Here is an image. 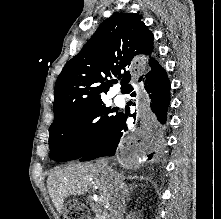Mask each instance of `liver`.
<instances>
[{
    "label": "liver",
    "instance_id": "liver-1",
    "mask_svg": "<svg viewBox=\"0 0 221 219\" xmlns=\"http://www.w3.org/2000/svg\"><path fill=\"white\" fill-rule=\"evenodd\" d=\"M92 186L98 189L99 201L109 211L117 199L116 195L128 189L124 177L111 168L104 170L100 161L75 163L55 169L47 179L49 195L59 213H63L65 198L84 195Z\"/></svg>",
    "mask_w": 221,
    "mask_h": 219
}]
</instances>
